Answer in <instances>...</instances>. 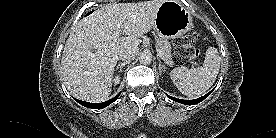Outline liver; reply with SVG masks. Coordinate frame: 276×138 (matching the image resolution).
Masks as SVG:
<instances>
[{
	"instance_id": "1",
	"label": "liver",
	"mask_w": 276,
	"mask_h": 138,
	"mask_svg": "<svg viewBox=\"0 0 276 138\" xmlns=\"http://www.w3.org/2000/svg\"><path fill=\"white\" fill-rule=\"evenodd\" d=\"M164 1L113 3L81 19L70 33L61 59L68 91L88 102L105 101L111 93L118 54L140 44L139 37L152 29ZM118 25L125 37L113 36Z\"/></svg>"
}]
</instances>
